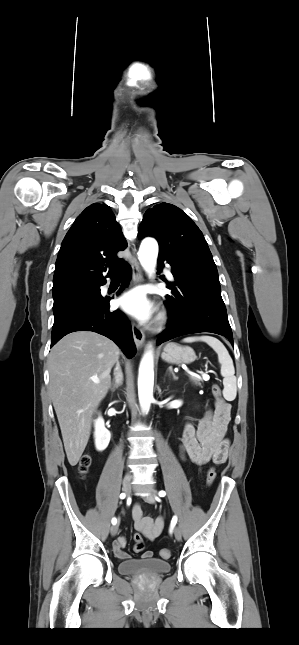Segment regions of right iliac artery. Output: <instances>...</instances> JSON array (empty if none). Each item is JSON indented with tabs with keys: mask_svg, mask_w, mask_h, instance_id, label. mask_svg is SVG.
<instances>
[{
	"mask_svg": "<svg viewBox=\"0 0 299 645\" xmlns=\"http://www.w3.org/2000/svg\"><path fill=\"white\" fill-rule=\"evenodd\" d=\"M125 497H126L125 493L120 494V499H124ZM111 522L113 525H115L117 523L116 518H113Z\"/></svg>",
	"mask_w": 299,
	"mask_h": 645,
	"instance_id": "82829eb1",
	"label": "right iliac artery"
}]
</instances>
